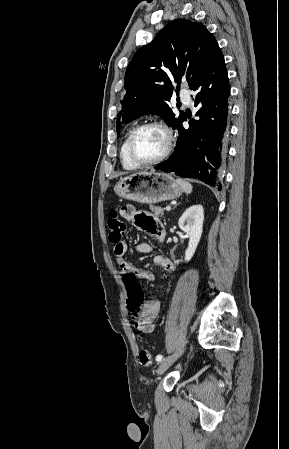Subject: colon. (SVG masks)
<instances>
[{
    "instance_id": "1",
    "label": "colon",
    "mask_w": 289,
    "mask_h": 449,
    "mask_svg": "<svg viewBox=\"0 0 289 449\" xmlns=\"http://www.w3.org/2000/svg\"><path fill=\"white\" fill-rule=\"evenodd\" d=\"M109 228V241L113 245L121 243L126 232V225L121 220L116 210H111L107 219ZM124 283L128 292V308L131 311L135 324L139 321L140 310L143 302V292L137 279L129 272L123 273ZM138 358L141 364L148 366L152 363L151 354L145 347H141L138 352Z\"/></svg>"
}]
</instances>
